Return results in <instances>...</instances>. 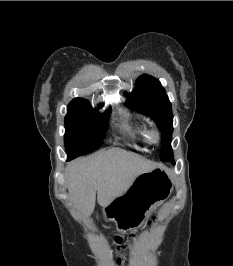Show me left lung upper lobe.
<instances>
[{"mask_svg": "<svg viewBox=\"0 0 233 266\" xmlns=\"http://www.w3.org/2000/svg\"><path fill=\"white\" fill-rule=\"evenodd\" d=\"M127 105L155 121L162 132L160 158L162 161H170L173 157V115L171 103L161 83L152 76H140L135 89L127 95Z\"/></svg>", "mask_w": 233, "mask_h": 266, "instance_id": "obj_1", "label": "left lung upper lobe"}]
</instances>
